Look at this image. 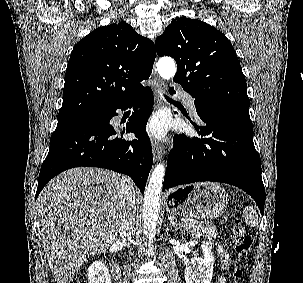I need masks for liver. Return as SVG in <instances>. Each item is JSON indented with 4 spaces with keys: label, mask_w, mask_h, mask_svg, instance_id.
Instances as JSON below:
<instances>
[{
    "label": "liver",
    "mask_w": 303,
    "mask_h": 283,
    "mask_svg": "<svg viewBox=\"0 0 303 283\" xmlns=\"http://www.w3.org/2000/svg\"><path fill=\"white\" fill-rule=\"evenodd\" d=\"M120 174L74 168L52 179L38 197L41 237L56 283H70L92 255L116 240L123 212ZM135 199L138 191L134 189Z\"/></svg>",
    "instance_id": "6515ba94"
}]
</instances>
